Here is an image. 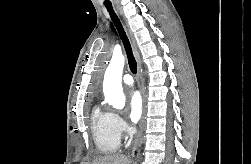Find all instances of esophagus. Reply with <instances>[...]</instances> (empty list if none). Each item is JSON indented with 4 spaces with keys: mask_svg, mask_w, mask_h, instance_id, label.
Listing matches in <instances>:
<instances>
[{
    "mask_svg": "<svg viewBox=\"0 0 251 164\" xmlns=\"http://www.w3.org/2000/svg\"><path fill=\"white\" fill-rule=\"evenodd\" d=\"M117 9H118L119 14L122 17L121 11L119 10L118 7H117ZM122 24H123L125 32L127 33L128 38H129V41H130V44L132 47V52H133V55H134L136 62H137V79H138L139 89H140V93H141V97H142V116H141V120H140V124H139V131L136 135V138H135L134 144H133V151H134L140 146V144L142 142L143 130H144V125H145L146 100H145L144 87H143L142 77H141V59H140V53L138 50V46H137V43H136L135 38L133 36V33L127 24V21L124 18H122Z\"/></svg>",
    "mask_w": 251,
    "mask_h": 164,
    "instance_id": "esophagus-1",
    "label": "esophagus"
}]
</instances>
